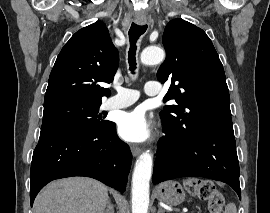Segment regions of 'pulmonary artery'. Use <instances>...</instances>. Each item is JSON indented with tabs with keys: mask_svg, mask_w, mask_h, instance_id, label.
Returning a JSON list of instances; mask_svg holds the SVG:
<instances>
[{
	"mask_svg": "<svg viewBox=\"0 0 270 213\" xmlns=\"http://www.w3.org/2000/svg\"><path fill=\"white\" fill-rule=\"evenodd\" d=\"M117 94L106 102L107 109H119L132 105L139 99L136 90L118 87ZM144 91L148 96H155L160 92V83L157 81H148L145 84Z\"/></svg>",
	"mask_w": 270,
	"mask_h": 213,
	"instance_id": "obj_1",
	"label": "pulmonary artery"
}]
</instances>
